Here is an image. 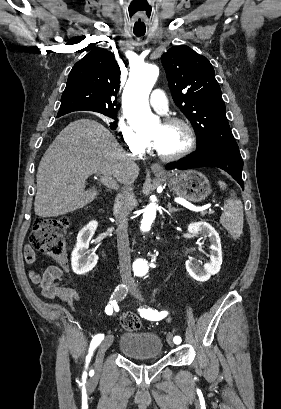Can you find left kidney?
Listing matches in <instances>:
<instances>
[{
    "label": "left kidney",
    "instance_id": "left-kidney-1",
    "mask_svg": "<svg viewBox=\"0 0 281 409\" xmlns=\"http://www.w3.org/2000/svg\"><path fill=\"white\" fill-rule=\"evenodd\" d=\"M188 233H192V235H203V237H209L210 241V261L205 263L203 269L198 267V265H193L191 261H186V271L189 273L192 279L195 281H200V283H204V281H209L211 275H216L219 273L222 265V251H221V241L220 237L209 225V223H205V221H199V223H190L188 225Z\"/></svg>",
    "mask_w": 281,
    "mask_h": 409
}]
</instances>
